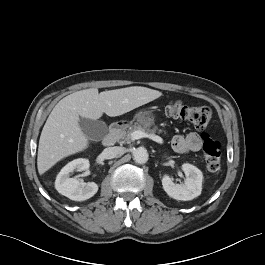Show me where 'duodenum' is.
<instances>
[{"label": "duodenum", "instance_id": "1", "mask_svg": "<svg viewBox=\"0 0 265 265\" xmlns=\"http://www.w3.org/2000/svg\"><path fill=\"white\" fill-rule=\"evenodd\" d=\"M122 128H123L122 123H120V122L114 123L110 127L109 133L107 134V136L103 140L104 146H106V147L113 146L117 142V140L121 134Z\"/></svg>", "mask_w": 265, "mask_h": 265}]
</instances>
